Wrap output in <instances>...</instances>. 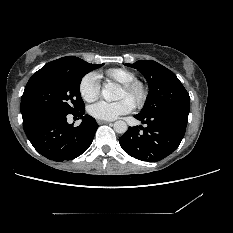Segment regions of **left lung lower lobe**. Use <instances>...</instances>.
<instances>
[{"mask_svg": "<svg viewBox=\"0 0 233 233\" xmlns=\"http://www.w3.org/2000/svg\"><path fill=\"white\" fill-rule=\"evenodd\" d=\"M134 117L147 127H130L119 138V143L130 156L148 162L160 161L178 148L188 121V115L181 114ZM139 129H143V132Z\"/></svg>", "mask_w": 233, "mask_h": 233, "instance_id": "0a47b994", "label": "left lung lower lobe"}]
</instances>
